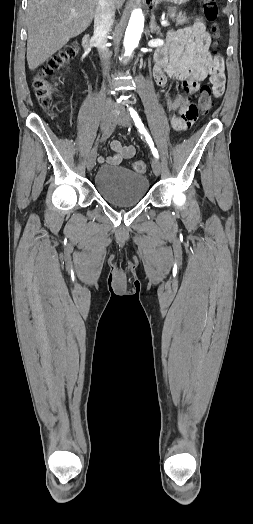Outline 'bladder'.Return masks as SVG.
Instances as JSON below:
<instances>
[{
  "label": "bladder",
  "instance_id": "bladder-1",
  "mask_svg": "<svg viewBox=\"0 0 253 524\" xmlns=\"http://www.w3.org/2000/svg\"><path fill=\"white\" fill-rule=\"evenodd\" d=\"M95 188L100 196L114 206L140 203L148 193L149 180L123 166H102L95 175Z\"/></svg>",
  "mask_w": 253,
  "mask_h": 524
}]
</instances>
